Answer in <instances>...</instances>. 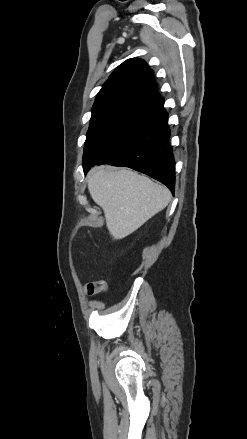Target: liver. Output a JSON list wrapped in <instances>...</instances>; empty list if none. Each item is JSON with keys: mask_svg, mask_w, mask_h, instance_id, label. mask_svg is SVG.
<instances>
[{"mask_svg": "<svg viewBox=\"0 0 247 439\" xmlns=\"http://www.w3.org/2000/svg\"><path fill=\"white\" fill-rule=\"evenodd\" d=\"M87 183L92 199L104 211L113 240L136 231L171 199L165 186L130 169L94 167L88 173Z\"/></svg>", "mask_w": 247, "mask_h": 439, "instance_id": "1", "label": "liver"}]
</instances>
